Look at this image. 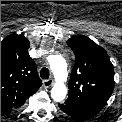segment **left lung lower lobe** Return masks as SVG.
Masks as SVG:
<instances>
[{"mask_svg":"<svg viewBox=\"0 0 122 122\" xmlns=\"http://www.w3.org/2000/svg\"><path fill=\"white\" fill-rule=\"evenodd\" d=\"M59 108L64 113H66L67 115H69L71 117H74V118H77V119H80V120H84V119H87V118L91 117L90 115H88V114H86L82 111L76 110L74 108H71L69 106H66L65 104H60Z\"/></svg>","mask_w":122,"mask_h":122,"instance_id":"obj_1","label":"left lung lower lobe"}]
</instances>
